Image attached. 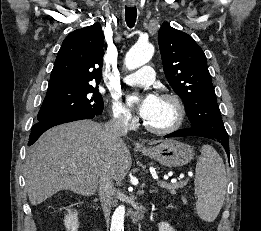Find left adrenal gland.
Segmentation results:
<instances>
[{
	"label": "left adrenal gland",
	"mask_w": 261,
	"mask_h": 231,
	"mask_svg": "<svg viewBox=\"0 0 261 231\" xmlns=\"http://www.w3.org/2000/svg\"><path fill=\"white\" fill-rule=\"evenodd\" d=\"M150 193H157V190H150Z\"/></svg>",
	"instance_id": "1"
}]
</instances>
